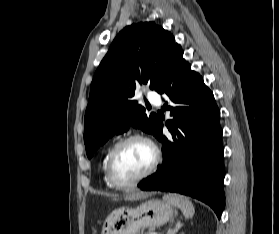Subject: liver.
I'll use <instances>...</instances> for the list:
<instances>
[{"instance_id": "6515ba94", "label": "liver", "mask_w": 279, "mask_h": 234, "mask_svg": "<svg viewBox=\"0 0 279 234\" xmlns=\"http://www.w3.org/2000/svg\"><path fill=\"white\" fill-rule=\"evenodd\" d=\"M148 196L147 193H143V192H134V193H130L128 195H126L124 197V200H128V201H133V200H139V199H144ZM121 199V198H120ZM114 201L119 200V198H115L113 199Z\"/></svg>"}]
</instances>
